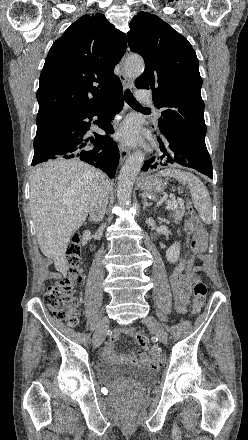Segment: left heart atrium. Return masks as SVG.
<instances>
[{"label":"left heart atrium","instance_id":"left-heart-atrium-1","mask_svg":"<svg viewBox=\"0 0 248 440\" xmlns=\"http://www.w3.org/2000/svg\"><path fill=\"white\" fill-rule=\"evenodd\" d=\"M117 137L126 145H135L140 141L139 128L132 119L125 121L117 132Z\"/></svg>","mask_w":248,"mask_h":440}]
</instances>
